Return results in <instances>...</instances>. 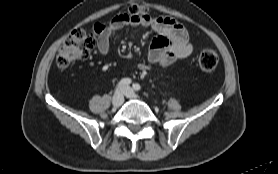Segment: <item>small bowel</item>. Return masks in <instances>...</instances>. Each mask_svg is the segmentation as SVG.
I'll return each mask as SVG.
<instances>
[{"instance_id":"obj_1","label":"small bowel","mask_w":278,"mask_h":174,"mask_svg":"<svg viewBox=\"0 0 278 174\" xmlns=\"http://www.w3.org/2000/svg\"><path fill=\"white\" fill-rule=\"evenodd\" d=\"M124 27H147L156 33L148 52V59L153 64L169 67L177 60L188 57L193 51L188 32L181 23L171 17L151 16L145 12L115 16L108 23L107 29L97 37V49L101 55H108L111 38ZM139 69L146 71L149 67L141 64Z\"/></svg>"}]
</instances>
